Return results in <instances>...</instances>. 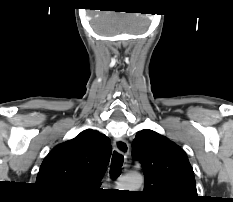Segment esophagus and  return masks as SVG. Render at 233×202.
Instances as JSON below:
<instances>
[{
  "instance_id": "esophagus-1",
  "label": "esophagus",
  "mask_w": 233,
  "mask_h": 202,
  "mask_svg": "<svg viewBox=\"0 0 233 202\" xmlns=\"http://www.w3.org/2000/svg\"><path fill=\"white\" fill-rule=\"evenodd\" d=\"M115 148L121 155L127 156L129 153V145L124 139H116Z\"/></svg>"
}]
</instances>
